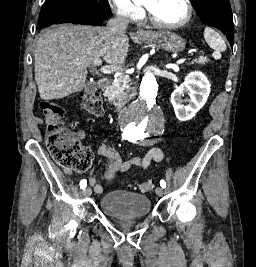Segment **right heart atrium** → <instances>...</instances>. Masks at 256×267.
Returning <instances> with one entry per match:
<instances>
[{
  "label": "right heart atrium",
  "mask_w": 256,
  "mask_h": 267,
  "mask_svg": "<svg viewBox=\"0 0 256 267\" xmlns=\"http://www.w3.org/2000/svg\"><path fill=\"white\" fill-rule=\"evenodd\" d=\"M143 14V10L141 5L137 4L134 5L127 13L124 14V17L128 21H135L138 20Z\"/></svg>",
  "instance_id": "right-heart-atrium-1"
}]
</instances>
